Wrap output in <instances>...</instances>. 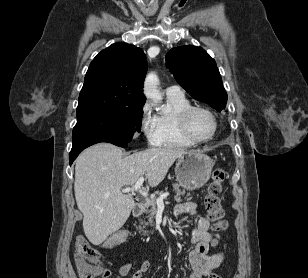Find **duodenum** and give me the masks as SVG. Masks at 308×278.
Returning a JSON list of instances; mask_svg holds the SVG:
<instances>
[{"instance_id": "obj_1", "label": "duodenum", "mask_w": 308, "mask_h": 278, "mask_svg": "<svg viewBox=\"0 0 308 278\" xmlns=\"http://www.w3.org/2000/svg\"><path fill=\"white\" fill-rule=\"evenodd\" d=\"M144 210L143 204H138L134 209V216H140Z\"/></svg>"}]
</instances>
